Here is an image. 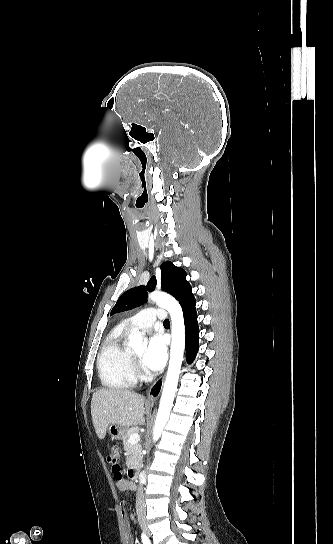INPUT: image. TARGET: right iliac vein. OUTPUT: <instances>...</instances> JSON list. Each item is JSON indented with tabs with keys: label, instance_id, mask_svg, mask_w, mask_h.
<instances>
[{
	"label": "right iliac vein",
	"instance_id": "obj_1",
	"mask_svg": "<svg viewBox=\"0 0 333 544\" xmlns=\"http://www.w3.org/2000/svg\"><path fill=\"white\" fill-rule=\"evenodd\" d=\"M143 528H144L145 532L149 535V531L146 529L145 525H143Z\"/></svg>",
	"mask_w": 333,
	"mask_h": 544
}]
</instances>
